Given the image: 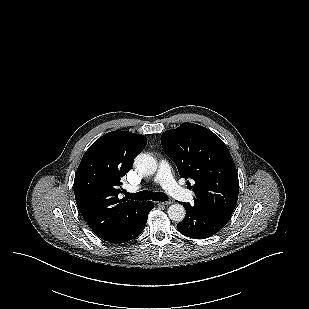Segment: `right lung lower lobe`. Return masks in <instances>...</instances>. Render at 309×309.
<instances>
[{
    "mask_svg": "<svg viewBox=\"0 0 309 309\" xmlns=\"http://www.w3.org/2000/svg\"><path fill=\"white\" fill-rule=\"evenodd\" d=\"M152 209V202H144L138 212L120 230L102 239L112 244H122L135 239L145 228L148 213Z\"/></svg>",
    "mask_w": 309,
    "mask_h": 309,
    "instance_id": "98d812e1",
    "label": "right lung lower lobe"
}]
</instances>
